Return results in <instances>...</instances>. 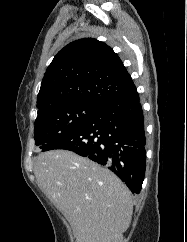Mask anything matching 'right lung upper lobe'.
Returning <instances> with one entry per match:
<instances>
[{"mask_svg": "<svg viewBox=\"0 0 187 242\" xmlns=\"http://www.w3.org/2000/svg\"><path fill=\"white\" fill-rule=\"evenodd\" d=\"M134 90L129 73L109 46L79 39L59 51L48 66L37 96L38 114L73 102L103 106Z\"/></svg>", "mask_w": 187, "mask_h": 242, "instance_id": "cb5924a9", "label": "right lung upper lobe"}]
</instances>
